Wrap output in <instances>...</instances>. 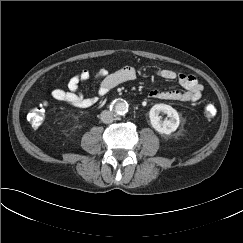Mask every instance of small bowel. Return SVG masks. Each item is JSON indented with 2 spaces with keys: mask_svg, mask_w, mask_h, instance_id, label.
Instances as JSON below:
<instances>
[{
  "mask_svg": "<svg viewBox=\"0 0 243 243\" xmlns=\"http://www.w3.org/2000/svg\"><path fill=\"white\" fill-rule=\"evenodd\" d=\"M159 76L166 80L177 79L185 91L174 90H152L149 98L157 100H170L178 102H196L202 95L203 86L197 78L190 74L177 73L172 69H162L158 72ZM137 70L133 66H125L119 70L108 73L105 69H100L94 79L100 80L97 96L84 97L79 91L81 83L89 81L92 77L88 70L83 69L69 79L66 89L57 88L52 91V97L62 103L76 108H89L98 102L99 97L105 96L116 86L134 80Z\"/></svg>",
  "mask_w": 243,
  "mask_h": 243,
  "instance_id": "c3829d8e",
  "label": "small bowel"
}]
</instances>
